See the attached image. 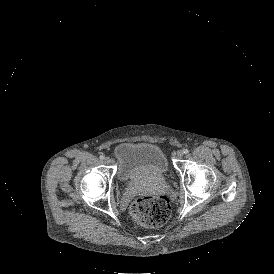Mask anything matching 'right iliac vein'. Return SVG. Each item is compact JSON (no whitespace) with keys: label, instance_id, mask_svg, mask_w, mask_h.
I'll return each mask as SVG.
<instances>
[{"label":"right iliac vein","instance_id":"obj_1","mask_svg":"<svg viewBox=\"0 0 274 274\" xmlns=\"http://www.w3.org/2000/svg\"><path fill=\"white\" fill-rule=\"evenodd\" d=\"M104 161H105V163H107V164L111 163V159H110L109 157H106Z\"/></svg>","mask_w":274,"mask_h":274}]
</instances>
